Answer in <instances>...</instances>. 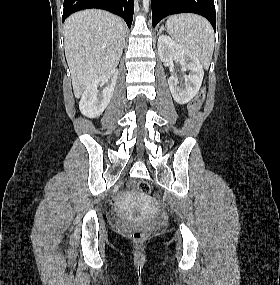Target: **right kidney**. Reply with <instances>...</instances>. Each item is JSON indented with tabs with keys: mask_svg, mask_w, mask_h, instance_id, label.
<instances>
[{
	"mask_svg": "<svg viewBox=\"0 0 280 285\" xmlns=\"http://www.w3.org/2000/svg\"><path fill=\"white\" fill-rule=\"evenodd\" d=\"M117 77L118 70L112 69L88 85L79 103V109L84 116L96 118L103 113L112 98ZM99 87H103L101 93Z\"/></svg>",
	"mask_w": 280,
	"mask_h": 285,
	"instance_id": "right-kidney-1",
	"label": "right kidney"
}]
</instances>
